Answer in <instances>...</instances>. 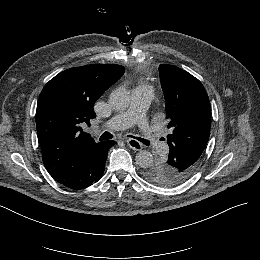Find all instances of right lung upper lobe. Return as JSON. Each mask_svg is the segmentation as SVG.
Masks as SVG:
<instances>
[{
    "mask_svg": "<svg viewBox=\"0 0 260 260\" xmlns=\"http://www.w3.org/2000/svg\"><path fill=\"white\" fill-rule=\"evenodd\" d=\"M116 64L70 68L43 88L36 110L37 135L42 159L51 176L73 166L98 144L80 125L95 118L96 100L124 73Z\"/></svg>",
    "mask_w": 260,
    "mask_h": 260,
    "instance_id": "cb5924a9",
    "label": "right lung upper lobe"
}]
</instances>
